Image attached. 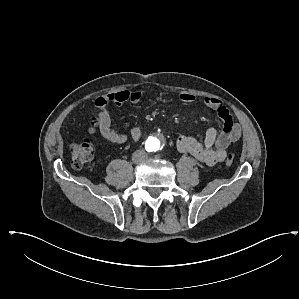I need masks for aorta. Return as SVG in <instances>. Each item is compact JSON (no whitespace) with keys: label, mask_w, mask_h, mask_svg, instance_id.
I'll list each match as a JSON object with an SVG mask.
<instances>
[{"label":"aorta","mask_w":299,"mask_h":299,"mask_svg":"<svg viewBox=\"0 0 299 299\" xmlns=\"http://www.w3.org/2000/svg\"><path fill=\"white\" fill-rule=\"evenodd\" d=\"M164 143V139L162 137V135L160 134H153L150 135L146 141H145V149L152 153L155 154L157 152H159L163 146Z\"/></svg>","instance_id":"obj_1"}]
</instances>
